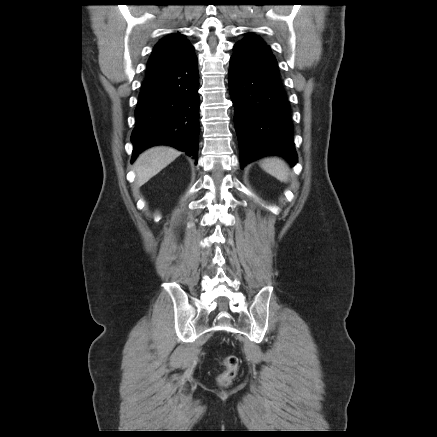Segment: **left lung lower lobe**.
<instances>
[{
  "mask_svg": "<svg viewBox=\"0 0 437 437\" xmlns=\"http://www.w3.org/2000/svg\"><path fill=\"white\" fill-rule=\"evenodd\" d=\"M229 89L241 167L267 155H279L295 164L290 105L279 69L236 43L230 59Z\"/></svg>",
  "mask_w": 437,
  "mask_h": 437,
  "instance_id": "0a47b994",
  "label": "left lung lower lobe"
}]
</instances>
